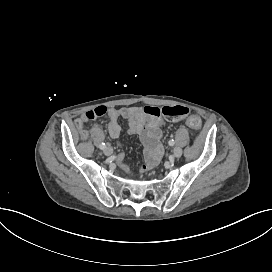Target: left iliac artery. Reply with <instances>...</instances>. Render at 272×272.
Wrapping results in <instances>:
<instances>
[{"label":"left iliac artery","instance_id":"1","mask_svg":"<svg viewBox=\"0 0 272 272\" xmlns=\"http://www.w3.org/2000/svg\"><path fill=\"white\" fill-rule=\"evenodd\" d=\"M174 144H175V142H174L173 139L169 141V145H170V146H173Z\"/></svg>","mask_w":272,"mask_h":272}]
</instances>
